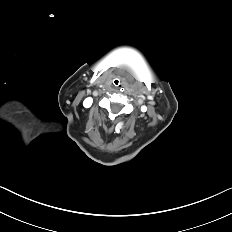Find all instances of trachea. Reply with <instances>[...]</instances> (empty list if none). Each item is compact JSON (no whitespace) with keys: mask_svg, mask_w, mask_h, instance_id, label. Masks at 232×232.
<instances>
[{"mask_svg":"<svg viewBox=\"0 0 232 232\" xmlns=\"http://www.w3.org/2000/svg\"><path fill=\"white\" fill-rule=\"evenodd\" d=\"M112 84H113V86H115V87H120V86H121V80H120L119 78H114V79L112 80Z\"/></svg>","mask_w":232,"mask_h":232,"instance_id":"trachea-1","label":"trachea"}]
</instances>
